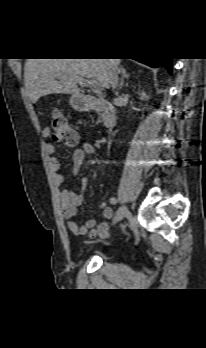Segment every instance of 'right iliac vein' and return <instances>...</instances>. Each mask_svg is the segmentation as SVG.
I'll use <instances>...</instances> for the list:
<instances>
[{
    "mask_svg": "<svg viewBox=\"0 0 206 348\" xmlns=\"http://www.w3.org/2000/svg\"><path fill=\"white\" fill-rule=\"evenodd\" d=\"M127 212H128L127 207L125 205L121 206L115 214V217L113 219V224H116L117 222L122 220L127 214Z\"/></svg>",
    "mask_w": 206,
    "mask_h": 348,
    "instance_id": "63e3f726",
    "label": "right iliac vein"
}]
</instances>
